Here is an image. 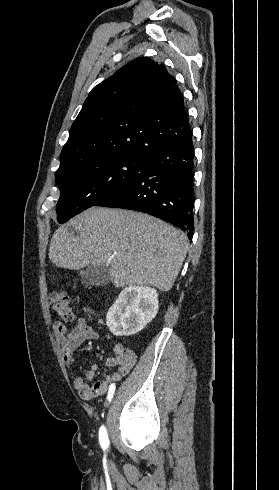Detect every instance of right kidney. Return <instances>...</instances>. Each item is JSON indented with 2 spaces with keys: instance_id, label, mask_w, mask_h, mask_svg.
Wrapping results in <instances>:
<instances>
[{
  "instance_id": "obj_1",
  "label": "right kidney",
  "mask_w": 279,
  "mask_h": 490,
  "mask_svg": "<svg viewBox=\"0 0 279 490\" xmlns=\"http://www.w3.org/2000/svg\"><path fill=\"white\" fill-rule=\"evenodd\" d=\"M158 310V292L155 288L128 286L109 308L106 326L113 336H133L155 318Z\"/></svg>"
}]
</instances>
